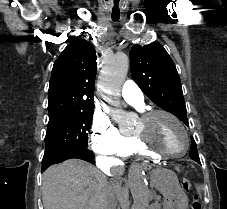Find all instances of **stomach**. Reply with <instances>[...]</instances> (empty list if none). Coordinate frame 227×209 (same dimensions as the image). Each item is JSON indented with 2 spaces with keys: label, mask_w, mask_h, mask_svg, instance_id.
Listing matches in <instances>:
<instances>
[{
  "label": "stomach",
  "mask_w": 227,
  "mask_h": 209,
  "mask_svg": "<svg viewBox=\"0 0 227 209\" xmlns=\"http://www.w3.org/2000/svg\"><path fill=\"white\" fill-rule=\"evenodd\" d=\"M151 181L164 197V209H187L188 198L181 189L174 171L156 169L151 174Z\"/></svg>",
  "instance_id": "1"
}]
</instances>
